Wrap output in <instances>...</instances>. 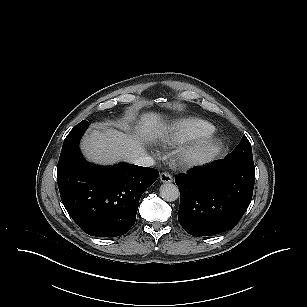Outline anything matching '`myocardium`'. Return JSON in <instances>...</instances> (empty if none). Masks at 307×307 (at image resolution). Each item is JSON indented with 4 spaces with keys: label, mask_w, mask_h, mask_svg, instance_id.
Returning <instances> with one entry per match:
<instances>
[{
    "label": "myocardium",
    "mask_w": 307,
    "mask_h": 307,
    "mask_svg": "<svg viewBox=\"0 0 307 307\" xmlns=\"http://www.w3.org/2000/svg\"><path fill=\"white\" fill-rule=\"evenodd\" d=\"M222 148L223 141L213 134L198 138L179 151L178 164L184 168L200 166L214 159Z\"/></svg>",
    "instance_id": "obj_1"
}]
</instances>
